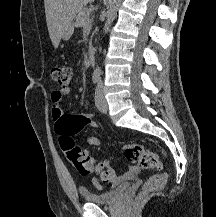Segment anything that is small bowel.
<instances>
[{"label": "small bowel", "mask_w": 216, "mask_h": 217, "mask_svg": "<svg viewBox=\"0 0 216 217\" xmlns=\"http://www.w3.org/2000/svg\"><path fill=\"white\" fill-rule=\"evenodd\" d=\"M70 93H71V88H69V87L54 90L51 93V97H50L51 104H52L51 117H52L53 121L55 122L56 128H57L58 124L60 123V121L64 118V112L60 106V103H61L62 99L65 96L69 95ZM86 142L88 145L101 147L100 140L94 136L88 137ZM136 172H137L136 167H130L124 174H122L121 176L115 177L110 183H111V185H117L124 180L131 179L135 175ZM93 184L96 187H100V185H101L100 182L97 180H93Z\"/></svg>", "instance_id": "c3829d8e"}]
</instances>
